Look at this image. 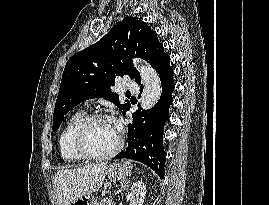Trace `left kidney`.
Segmentation results:
<instances>
[{"mask_svg":"<svg viewBox=\"0 0 269 205\" xmlns=\"http://www.w3.org/2000/svg\"><path fill=\"white\" fill-rule=\"evenodd\" d=\"M146 195V185L142 181L135 182L130 188L127 200L130 205H143Z\"/></svg>","mask_w":269,"mask_h":205,"instance_id":"5707ae66","label":"left kidney"}]
</instances>
